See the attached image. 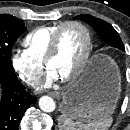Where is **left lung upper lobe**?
Here are the masks:
<instances>
[{
    "mask_svg": "<svg viewBox=\"0 0 130 130\" xmlns=\"http://www.w3.org/2000/svg\"><path fill=\"white\" fill-rule=\"evenodd\" d=\"M76 18L85 21L93 27L99 36L110 46L125 51L124 45L117 31L106 21L91 15H79Z\"/></svg>",
    "mask_w": 130,
    "mask_h": 130,
    "instance_id": "left-lung-upper-lobe-1",
    "label": "left lung upper lobe"
}]
</instances>
